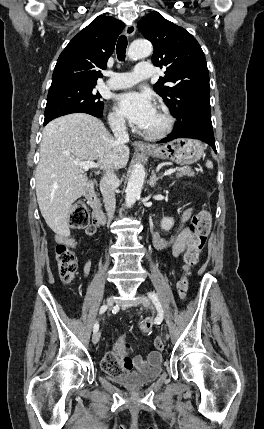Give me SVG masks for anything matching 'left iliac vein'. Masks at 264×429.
<instances>
[{
	"label": "left iliac vein",
	"instance_id": "1",
	"mask_svg": "<svg viewBox=\"0 0 264 429\" xmlns=\"http://www.w3.org/2000/svg\"><path fill=\"white\" fill-rule=\"evenodd\" d=\"M140 300H141L144 307H147V308L150 307L151 302L146 296L140 295ZM163 330L166 332L168 329L165 327ZM165 341L166 342L170 341V333L169 332L165 333Z\"/></svg>",
	"mask_w": 264,
	"mask_h": 429
}]
</instances>
